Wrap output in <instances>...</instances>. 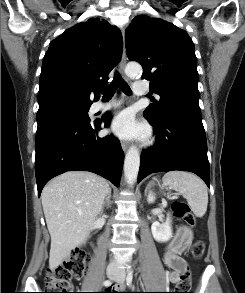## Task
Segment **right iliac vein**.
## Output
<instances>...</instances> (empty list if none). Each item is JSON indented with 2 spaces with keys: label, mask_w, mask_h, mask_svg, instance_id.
Returning <instances> with one entry per match:
<instances>
[{
  "label": "right iliac vein",
  "mask_w": 245,
  "mask_h": 293,
  "mask_svg": "<svg viewBox=\"0 0 245 293\" xmlns=\"http://www.w3.org/2000/svg\"><path fill=\"white\" fill-rule=\"evenodd\" d=\"M117 275H118L117 272H115V271H113V270H110V269L107 270V276H108L109 278L114 279V278L117 277Z\"/></svg>",
  "instance_id": "obj_1"
}]
</instances>
